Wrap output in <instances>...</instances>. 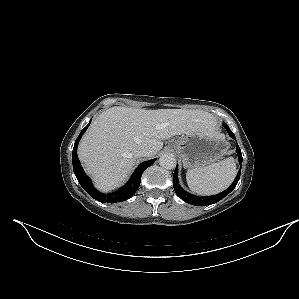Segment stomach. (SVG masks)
<instances>
[{
    "label": "stomach",
    "mask_w": 299,
    "mask_h": 299,
    "mask_svg": "<svg viewBox=\"0 0 299 299\" xmlns=\"http://www.w3.org/2000/svg\"><path fill=\"white\" fill-rule=\"evenodd\" d=\"M172 147L188 169L203 168L223 157L229 148L225 136L215 129L183 135Z\"/></svg>",
    "instance_id": "1"
}]
</instances>
